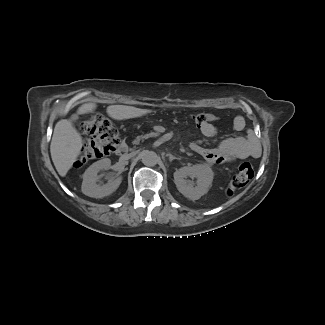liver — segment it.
<instances>
[{"label": "liver", "mask_w": 325, "mask_h": 325, "mask_svg": "<svg viewBox=\"0 0 325 325\" xmlns=\"http://www.w3.org/2000/svg\"><path fill=\"white\" fill-rule=\"evenodd\" d=\"M96 107L95 103H85L77 109L76 114H73L70 119H62L56 123L50 152L54 166L60 176L64 177L71 169L83 146L82 137L73 126V121L77 120L80 114L92 113ZM151 112L150 109L126 105H110L107 107V114L116 120L136 118Z\"/></svg>", "instance_id": "obj_1"}]
</instances>
